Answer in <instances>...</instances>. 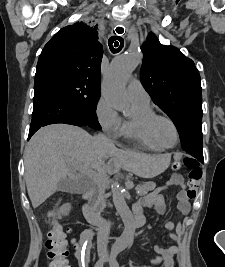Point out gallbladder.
I'll use <instances>...</instances> for the list:
<instances>
[{
    "label": "gallbladder",
    "mask_w": 225,
    "mask_h": 267,
    "mask_svg": "<svg viewBox=\"0 0 225 267\" xmlns=\"http://www.w3.org/2000/svg\"><path fill=\"white\" fill-rule=\"evenodd\" d=\"M57 190L64 192H80L77 183L69 177L58 182Z\"/></svg>",
    "instance_id": "obj_1"
}]
</instances>
